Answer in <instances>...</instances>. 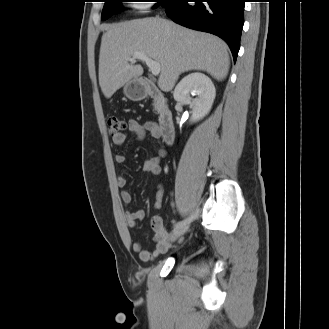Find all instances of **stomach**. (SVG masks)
<instances>
[{"mask_svg": "<svg viewBox=\"0 0 329 329\" xmlns=\"http://www.w3.org/2000/svg\"><path fill=\"white\" fill-rule=\"evenodd\" d=\"M124 94L132 101H140L147 96L148 85L142 79H132L125 84Z\"/></svg>", "mask_w": 329, "mask_h": 329, "instance_id": "obj_1", "label": "stomach"}]
</instances>
